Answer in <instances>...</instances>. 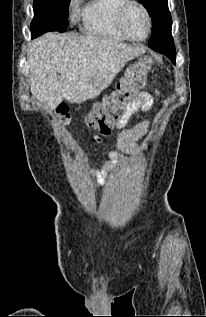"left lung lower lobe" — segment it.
Returning <instances> with one entry per match:
<instances>
[{
	"label": "left lung lower lobe",
	"mask_w": 206,
	"mask_h": 317,
	"mask_svg": "<svg viewBox=\"0 0 206 317\" xmlns=\"http://www.w3.org/2000/svg\"><path fill=\"white\" fill-rule=\"evenodd\" d=\"M148 44L153 50L160 52L166 55L167 57H169L170 60L175 64L176 54H175L174 44H171V43H162V44L148 43Z\"/></svg>",
	"instance_id": "0a47b994"
}]
</instances>
